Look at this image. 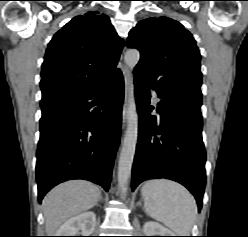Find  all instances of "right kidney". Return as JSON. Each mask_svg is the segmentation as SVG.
Segmentation results:
<instances>
[{"instance_id":"ca27d5eb","label":"right kidney","mask_w":248,"mask_h":237,"mask_svg":"<svg viewBox=\"0 0 248 237\" xmlns=\"http://www.w3.org/2000/svg\"><path fill=\"white\" fill-rule=\"evenodd\" d=\"M96 223L94 212H84L67 220L57 231L56 236H77L79 230L83 236H90Z\"/></svg>"}]
</instances>
